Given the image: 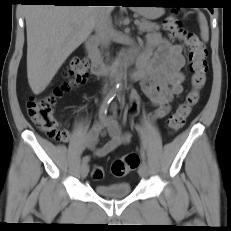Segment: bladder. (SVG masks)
Masks as SVG:
<instances>
[{"label":"bladder","mask_w":231,"mask_h":231,"mask_svg":"<svg viewBox=\"0 0 231 231\" xmlns=\"http://www.w3.org/2000/svg\"><path fill=\"white\" fill-rule=\"evenodd\" d=\"M95 191L102 197L109 199H119L127 197L130 194L131 186L128 182L96 184Z\"/></svg>","instance_id":"1"}]
</instances>
